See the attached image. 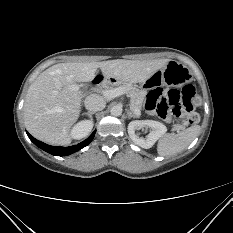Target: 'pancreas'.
Segmentation results:
<instances>
[{
    "instance_id": "pancreas-1",
    "label": "pancreas",
    "mask_w": 233,
    "mask_h": 233,
    "mask_svg": "<svg viewBox=\"0 0 233 233\" xmlns=\"http://www.w3.org/2000/svg\"><path fill=\"white\" fill-rule=\"evenodd\" d=\"M118 87H121L125 90V93L131 98V104L133 107L141 111L145 98V92L129 84H118ZM184 127V125L180 124L174 126L176 130L184 129Z\"/></svg>"
}]
</instances>
